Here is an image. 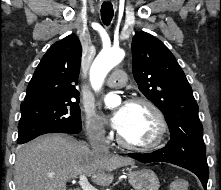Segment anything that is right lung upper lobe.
Here are the masks:
<instances>
[{
    "label": "right lung upper lobe",
    "instance_id": "obj_1",
    "mask_svg": "<svg viewBox=\"0 0 221 190\" xmlns=\"http://www.w3.org/2000/svg\"><path fill=\"white\" fill-rule=\"evenodd\" d=\"M80 65L81 44L76 35H69L54 43L37 66L21 105L78 98L76 85Z\"/></svg>",
    "mask_w": 221,
    "mask_h": 190
}]
</instances>
